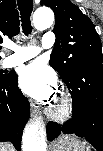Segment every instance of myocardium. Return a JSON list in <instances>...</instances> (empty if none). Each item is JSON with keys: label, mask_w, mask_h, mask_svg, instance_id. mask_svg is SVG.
I'll list each match as a JSON object with an SVG mask.
<instances>
[{"label": "myocardium", "mask_w": 103, "mask_h": 151, "mask_svg": "<svg viewBox=\"0 0 103 151\" xmlns=\"http://www.w3.org/2000/svg\"><path fill=\"white\" fill-rule=\"evenodd\" d=\"M72 110L70 95L66 92H61L49 107L48 116L55 122L64 123L70 119Z\"/></svg>", "instance_id": "f54148a6"}]
</instances>
